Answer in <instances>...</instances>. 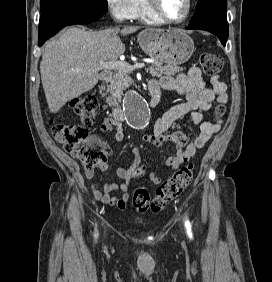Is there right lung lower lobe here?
<instances>
[{"label":"right lung lower lobe","mask_w":272,"mask_h":282,"mask_svg":"<svg viewBox=\"0 0 272 282\" xmlns=\"http://www.w3.org/2000/svg\"><path fill=\"white\" fill-rule=\"evenodd\" d=\"M106 12L107 8L96 5L74 4L50 8L40 17L38 45H43L65 26L94 22Z\"/></svg>","instance_id":"98d812e1"}]
</instances>
